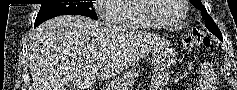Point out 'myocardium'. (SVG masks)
I'll list each match as a JSON object with an SVG mask.
<instances>
[{
	"label": "myocardium",
	"mask_w": 237,
	"mask_h": 90,
	"mask_svg": "<svg viewBox=\"0 0 237 90\" xmlns=\"http://www.w3.org/2000/svg\"><path fill=\"white\" fill-rule=\"evenodd\" d=\"M189 0H177L175 3H177L182 11L180 20L175 24L171 26L164 25L156 20L154 17L155 12H157V9H161L163 3H159L158 0H144L143 3H138V7L140 9H143L142 14H145L144 18H149L150 22L156 26L157 28L165 31H175L179 29L182 24L184 23L187 15V5L185 3H188Z\"/></svg>",
	"instance_id": "myocardium-1"
}]
</instances>
